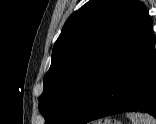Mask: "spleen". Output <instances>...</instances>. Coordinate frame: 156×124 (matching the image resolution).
Listing matches in <instances>:
<instances>
[{
    "label": "spleen",
    "instance_id": "spleen-1",
    "mask_svg": "<svg viewBox=\"0 0 156 124\" xmlns=\"http://www.w3.org/2000/svg\"><path fill=\"white\" fill-rule=\"evenodd\" d=\"M132 124H156V119L146 113H128Z\"/></svg>",
    "mask_w": 156,
    "mask_h": 124
}]
</instances>
